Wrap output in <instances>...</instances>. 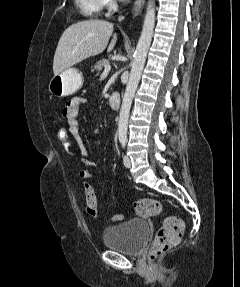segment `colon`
Instances as JSON below:
<instances>
[{"label":"colon","instance_id":"colon-1","mask_svg":"<svg viewBox=\"0 0 240 287\" xmlns=\"http://www.w3.org/2000/svg\"><path fill=\"white\" fill-rule=\"evenodd\" d=\"M55 135L59 144L61 145L63 152L71 159L73 163L80 167L79 171L81 177L83 179H89L84 174L83 166L80 164L77 158V144L68 123H60L56 128ZM84 195L87 213L94 218L99 217L95 190L87 182L85 183L84 187ZM134 208L137 214L143 217L158 216L163 212V206L161 202L153 198H143L137 200L134 203ZM122 219V215H113L111 217L112 221H121ZM183 229L184 223L179 217H166L162 227L156 233L154 242L149 251L148 257L150 262L157 261L158 258L166 251L179 244L182 239Z\"/></svg>","mask_w":240,"mask_h":287}]
</instances>
